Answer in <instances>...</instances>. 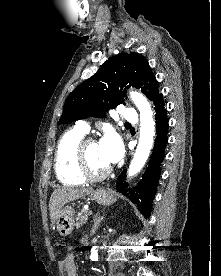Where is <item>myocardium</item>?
Masks as SVG:
<instances>
[{
  "instance_id": "1",
  "label": "myocardium",
  "mask_w": 221,
  "mask_h": 276,
  "mask_svg": "<svg viewBox=\"0 0 221 276\" xmlns=\"http://www.w3.org/2000/svg\"><path fill=\"white\" fill-rule=\"evenodd\" d=\"M96 139L93 137H84L77 145L76 158L77 165L82 176L90 181H99L106 178L111 172L112 168L108 167L102 172H95L88 161L87 147L91 143H95Z\"/></svg>"
}]
</instances>
